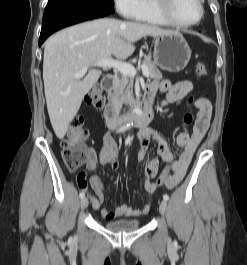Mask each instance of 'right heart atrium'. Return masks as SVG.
Instances as JSON below:
<instances>
[{
    "instance_id": "obj_1",
    "label": "right heart atrium",
    "mask_w": 247,
    "mask_h": 265,
    "mask_svg": "<svg viewBox=\"0 0 247 265\" xmlns=\"http://www.w3.org/2000/svg\"><path fill=\"white\" fill-rule=\"evenodd\" d=\"M118 12L127 19H136L142 8V0H114Z\"/></svg>"
}]
</instances>
